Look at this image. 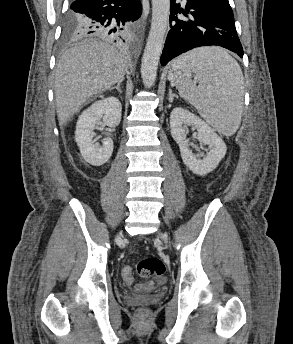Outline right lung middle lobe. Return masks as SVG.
<instances>
[{
    "instance_id": "right-lung-middle-lobe-1",
    "label": "right lung middle lobe",
    "mask_w": 293,
    "mask_h": 344,
    "mask_svg": "<svg viewBox=\"0 0 293 344\" xmlns=\"http://www.w3.org/2000/svg\"><path fill=\"white\" fill-rule=\"evenodd\" d=\"M85 20L82 15L69 11L66 17L62 39L64 41H70L81 37L80 29Z\"/></svg>"
}]
</instances>
